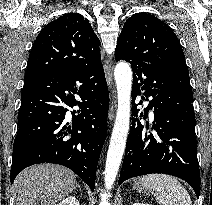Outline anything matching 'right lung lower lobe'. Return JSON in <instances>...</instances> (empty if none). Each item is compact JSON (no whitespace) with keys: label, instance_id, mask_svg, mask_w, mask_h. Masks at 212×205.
<instances>
[{"label":"right lung lower lobe","instance_id":"obj_1","mask_svg":"<svg viewBox=\"0 0 212 205\" xmlns=\"http://www.w3.org/2000/svg\"><path fill=\"white\" fill-rule=\"evenodd\" d=\"M73 106L81 110L72 111V121L67 122V107ZM108 108L103 67L49 73L24 81L11 183L24 168L46 162L73 170L93 191Z\"/></svg>","mask_w":212,"mask_h":205}]
</instances>
